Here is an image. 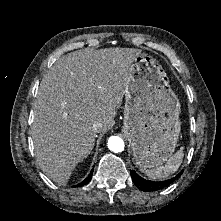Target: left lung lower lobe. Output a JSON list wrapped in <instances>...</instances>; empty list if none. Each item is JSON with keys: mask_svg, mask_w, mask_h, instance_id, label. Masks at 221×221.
<instances>
[{"mask_svg": "<svg viewBox=\"0 0 221 221\" xmlns=\"http://www.w3.org/2000/svg\"><path fill=\"white\" fill-rule=\"evenodd\" d=\"M181 173H179L177 175V177L180 175ZM131 178L133 183L140 189L143 191H157L160 190L166 186H168L169 184H171L176 177L165 180V181H160V182H154V181H149L146 179H143L142 177H140L134 170L131 171Z\"/></svg>", "mask_w": 221, "mask_h": 221, "instance_id": "left-lung-lower-lobe-1", "label": "left lung lower lobe"}]
</instances>
